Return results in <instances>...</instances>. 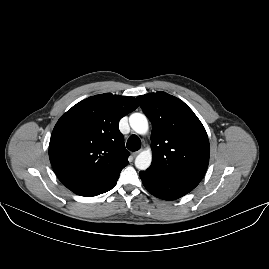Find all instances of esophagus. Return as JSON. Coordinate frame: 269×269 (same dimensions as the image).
<instances>
[{"label":"esophagus","mask_w":269,"mask_h":269,"mask_svg":"<svg viewBox=\"0 0 269 269\" xmlns=\"http://www.w3.org/2000/svg\"><path fill=\"white\" fill-rule=\"evenodd\" d=\"M139 153H140V150L135 151V152H132V153H131V156H132L133 158H135Z\"/></svg>","instance_id":"esophagus-1"}]
</instances>
